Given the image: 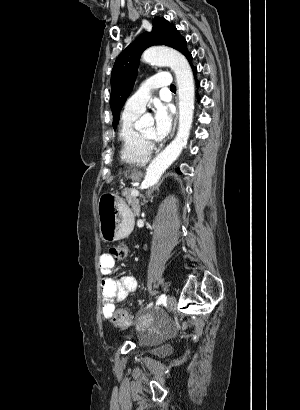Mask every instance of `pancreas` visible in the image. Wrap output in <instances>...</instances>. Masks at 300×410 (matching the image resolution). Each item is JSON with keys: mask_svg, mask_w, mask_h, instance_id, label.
Masks as SVG:
<instances>
[{"mask_svg": "<svg viewBox=\"0 0 300 410\" xmlns=\"http://www.w3.org/2000/svg\"><path fill=\"white\" fill-rule=\"evenodd\" d=\"M134 189H129L124 193V197L128 203L129 206H131L133 213L136 216H139L140 214V205H139V201L136 199V197L131 195V191Z\"/></svg>", "mask_w": 300, "mask_h": 410, "instance_id": "1", "label": "pancreas"}]
</instances>
